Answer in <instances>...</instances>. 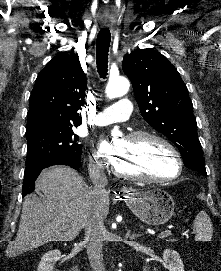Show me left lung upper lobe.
Wrapping results in <instances>:
<instances>
[{"mask_svg":"<svg viewBox=\"0 0 221 271\" xmlns=\"http://www.w3.org/2000/svg\"><path fill=\"white\" fill-rule=\"evenodd\" d=\"M122 69L132 82L143 118L178 147L186 167L207 175L193 104L176 68L147 48L126 54Z\"/></svg>","mask_w":221,"mask_h":271,"instance_id":"obj_1","label":"left lung upper lobe"}]
</instances>
